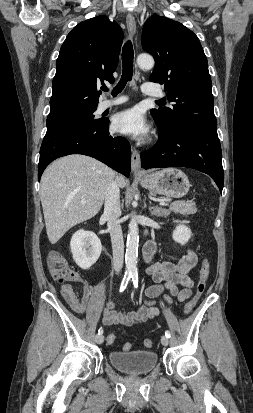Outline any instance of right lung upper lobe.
<instances>
[{"mask_svg": "<svg viewBox=\"0 0 253 413\" xmlns=\"http://www.w3.org/2000/svg\"><path fill=\"white\" fill-rule=\"evenodd\" d=\"M123 37L118 24L106 16L83 21L70 31L56 62L48 116L97 107L99 85L114 82Z\"/></svg>", "mask_w": 253, "mask_h": 413, "instance_id": "1", "label": "right lung upper lobe"}]
</instances>
